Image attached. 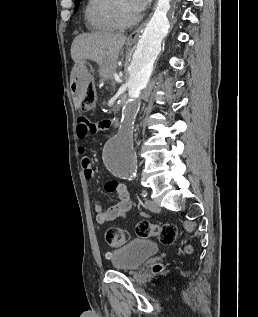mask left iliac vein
<instances>
[{"label":"left iliac vein","mask_w":258,"mask_h":317,"mask_svg":"<svg viewBox=\"0 0 258 317\" xmlns=\"http://www.w3.org/2000/svg\"><path fill=\"white\" fill-rule=\"evenodd\" d=\"M145 203L147 208H149L150 211L153 213H158L159 212V207L157 206V201L156 200H150V198H145Z\"/></svg>","instance_id":"1"}]
</instances>
